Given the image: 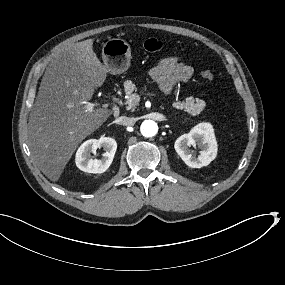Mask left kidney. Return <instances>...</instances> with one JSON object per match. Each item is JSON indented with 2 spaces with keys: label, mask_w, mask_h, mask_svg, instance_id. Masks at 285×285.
Instances as JSON below:
<instances>
[{
  "label": "left kidney",
  "mask_w": 285,
  "mask_h": 285,
  "mask_svg": "<svg viewBox=\"0 0 285 285\" xmlns=\"http://www.w3.org/2000/svg\"><path fill=\"white\" fill-rule=\"evenodd\" d=\"M199 144L201 151L195 157L188 147ZM174 148L177 154L192 168L207 166L217 156V141L211 123L202 122L194 126L189 133L181 135L175 141Z\"/></svg>",
  "instance_id": "left-kidney-1"
}]
</instances>
